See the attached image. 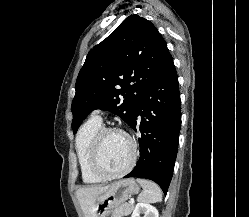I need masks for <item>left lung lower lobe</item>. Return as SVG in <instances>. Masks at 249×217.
<instances>
[{"mask_svg":"<svg viewBox=\"0 0 249 217\" xmlns=\"http://www.w3.org/2000/svg\"><path fill=\"white\" fill-rule=\"evenodd\" d=\"M129 126L139 135L140 158L125 178L150 179L166 194L173 175L181 127L178 76L171 55L141 96Z\"/></svg>","mask_w":249,"mask_h":217,"instance_id":"0a47b994","label":"left lung lower lobe"}]
</instances>
